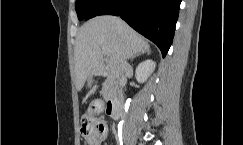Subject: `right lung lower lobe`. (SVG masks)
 I'll use <instances>...</instances> for the list:
<instances>
[{
    "label": "right lung lower lobe",
    "mask_w": 243,
    "mask_h": 145,
    "mask_svg": "<svg viewBox=\"0 0 243 145\" xmlns=\"http://www.w3.org/2000/svg\"><path fill=\"white\" fill-rule=\"evenodd\" d=\"M181 0H101L85 16H120L136 31L153 41L165 57L175 31Z\"/></svg>",
    "instance_id": "right-lung-lower-lobe-1"
}]
</instances>
